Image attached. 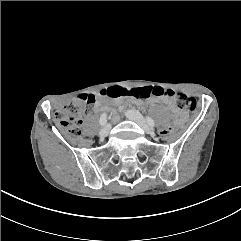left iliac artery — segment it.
I'll return each instance as SVG.
<instances>
[{"label": "left iliac artery", "mask_w": 241, "mask_h": 241, "mask_svg": "<svg viewBox=\"0 0 241 241\" xmlns=\"http://www.w3.org/2000/svg\"><path fill=\"white\" fill-rule=\"evenodd\" d=\"M146 121L150 126H152V127L155 126V122L152 118L146 117Z\"/></svg>", "instance_id": "left-iliac-artery-1"}]
</instances>
